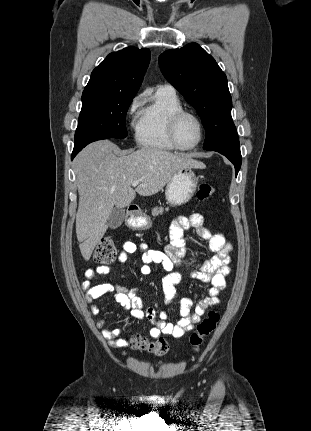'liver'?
Masks as SVG:
<instances>
[{
    "label": "liver",
    "mask_w": 311,
    "mask_h": 431,
    "mask_svg": "<svg viewBox=\"0 0 311 431\" xmlns=\"http://www.w3.org/2000/svg\"><path fill=\"white\" fill-rule=\"evenodd\" d=\"M182 168H206L187 154H171L158 148L120 150L109 140L86 146L74 160L79 192L76 235L84 259L108 229L113 208H127L139 196H153L171 182ZM142 180L133 190L131 184Z\"/></svg>",
    "instance_id": "1"
}]
</instances>
